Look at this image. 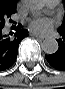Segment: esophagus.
<instances>
[{
	"instance_id": "obj_1",
	"label": "esophagus",
	"mask_w": 65,
	"mask_h": 89,
	"mask_svg": "<svg viewBox=\"0 0 65 89\" xmlns=\"http://www.w3.org/2000/svg\"><path fill=\"white\" fill-rule=\"evenodd\" d=\"M30 35L37 37V38H40V39L46 38L45 35H42V34H39V33H36V32H31Z\"/></svg>"
}]
</instances>
